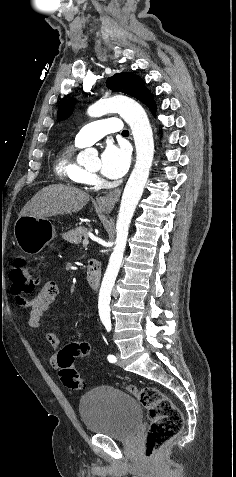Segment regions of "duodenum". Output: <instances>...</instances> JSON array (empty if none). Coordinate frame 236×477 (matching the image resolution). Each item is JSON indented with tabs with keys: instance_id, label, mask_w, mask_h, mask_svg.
<instances>
[{
	"instance_id": "410a0bca",
	"label": "duodenum",
	"mask_w": 236,
	"mask_h": 477,
	"mask_svg": "<svg viewBox=\"0 0 236 477\" xmlns=\"http://www.w3.org/2000/svg\"><path fill=\"white\" fill-rule=\"evenodd\" d=\"M101 278V267L97 260H88L86 281L91 290L96 291L99 288Z\"/></svg>"
}]
</instances>
